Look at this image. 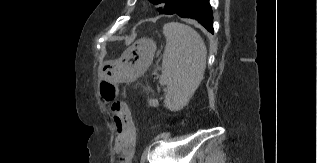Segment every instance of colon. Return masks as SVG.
<instances>
[{
    "instance_id": "obj_1",
    "label": "colon",
    "mask_w": 317,
    "mask_h": 163,
    "mask_svg": "<svg viewBox=\"0 0 317 163\" xmlns=\"http://www.w3.org/2000/svg\"><path fill=\"white\" fill-rule=\"evenodd\" d=\"M100 92L102 98L107 102H114L117 95H118V87L116 84L110 81H104L101 84ZM121 104L114 103L113 104V111L119 110Z\"/></svg>"
}]
</instances>
